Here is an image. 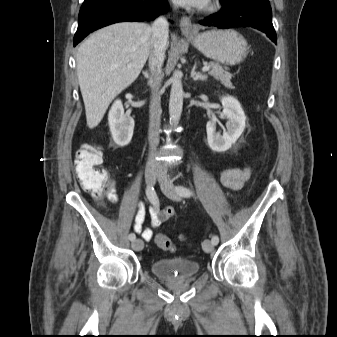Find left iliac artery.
Masks as SVG:
<instances>
[{
	"mask_svg": "<svg viewBox=\"0 0 337 337\" xmlns=\"http://www.w3.org/2000/svg\"><path fill=\"white\" fill-rule=\"evenodd\" d=\"M176 190H177V192H178L181 196H183V197H190V196L192 195V191H191L190 189H188L187 187H185V186H178V187L176 188ZM211 241H212V243H213L214 245H217L218 242H219L218 236H217V235H214V236L212 237Z\"/></svg>",
	"mask_w": 337,
	"mask_h": 337,
	"instance_id": "obj_1",
	"label": "left iliac artery"
}]
</instances>
